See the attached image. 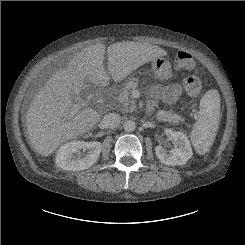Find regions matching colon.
Listing matches in <instances>:
<instances>
[{
	"mask_svg": "<svg viewBox=\"0 0 245 245\" xmlns=\"http://www.w3.org/2000/svg\"><path fill=\"white\" fill-rule=\"evenodd\" d=\"M176 67L184 72H192L195 68V59L186 49L177 51L175 55ZM184 89L190 98H196L202 90V79L198 73H192L184 80Z\"/></svg>",
	"mask_w": 245,
	"mask_h": 245,
	"instance_id": "colon-1",
	"label": "colon"
}]
</instances>
